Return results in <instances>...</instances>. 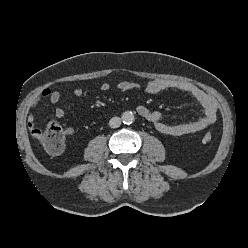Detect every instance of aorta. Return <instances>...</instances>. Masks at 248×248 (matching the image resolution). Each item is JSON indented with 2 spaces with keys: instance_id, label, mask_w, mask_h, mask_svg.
<instances>
[{
  "instance_id": "obj_1",
  "label": "aorta",
  "mask_w": 248,
  "mask_h": 248,
  "mask_svg": "<svg viewBox=\"0 0 248 248\" xmlns=\"http://www.w3.org/2000/svg\"><path fill=\"white\" fill-rule=\"evenodd\" d=\"M121 118L124 124H131L135 119L134 114L131 111H125Z\"/></svg>"
}]
</instances>
